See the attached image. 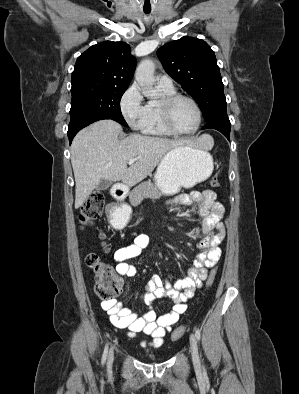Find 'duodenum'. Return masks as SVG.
I'll return each instance as SVG.
<instances>
[{"mask_svg": "<svg viewBox=\"0 0 299 394\" xmlns=\"http://www.w3.org/2000/svg\"><path fill=\"white\" fill-rule=\"evenodd\" d=\"M126 193V187L122 184L117 185V187L114 189L113 195L116 198H121L124 194ZM109 219L110 220H116L117 215L116 211L113 207H109Z\"/></svg>", "mask_w": 299, "mask_h": 394, "instance_id": "410a0bca", "label": "duodenum"}]
</instances>
